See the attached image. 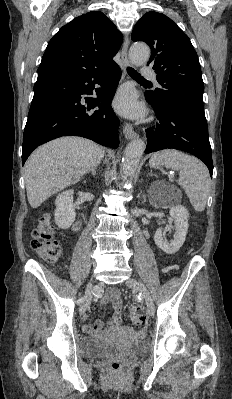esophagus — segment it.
I'll return each mask as SVG.
<instances>
[{"label":"esophagus","mask_w":232,"mask_h":399,"mask_svg":"<svg viewBox=\"0 0 232 399\" xmlns=\"http://www.w3.org/2000/svg\"><path fill=\"white\" fill-rule=\"evenodd\" d=\"M128 46H129V38L126 37L121 51V60L123 62L124 69L127 67H131V63L128 59ZM123 133L127 139H134L135 137H138V134L133 130V127L128 123L124 124Z\"/></svg>","instance_id":"34e87169"}]
</instances>
